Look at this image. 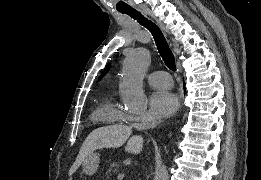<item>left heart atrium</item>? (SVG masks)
<instances>
[{
    "instance_id": "obj_1",
    "label": "left heart atrium",
    "mask_w": 261,
    "mask_h": 180,
    "mask_svg": "<svg viewBox=\"0 0 261 180\" xmlns=\"http://www.w3.org/2000/svg\"><path fill=\"white\" fill-rule=\"evenodd\" d=\"M177 107L178 99L173 93L167 90H157L151 95L147 110L148 113L167 117L173 114Z\"/></svg>"
}]
</instances>
